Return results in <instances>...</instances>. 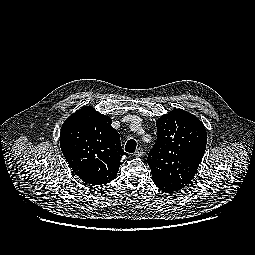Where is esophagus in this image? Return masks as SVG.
Segmentation results:
<instances>
[{
	"label": "esophagus",
	"instance_id": "34e87169",
	"mask_svg": "<svg viewBox=\"0 0 255 255\" xmlns=\"http://www.w3.org/2000/svg\"><path fill=\"white\" fill-rule=\"evenodd\" d=\"M143 154H144V151H143V148H141V147H139V148L134 152V155H135L136 157H141V156H143Z\"/></svg>",
	"mask_w": 255,
	"mask_h": 255
}]
</instances>
